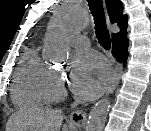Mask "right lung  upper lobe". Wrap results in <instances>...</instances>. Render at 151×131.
I'll return each instance as SVG.
<instances>
[{"instance_id":"1","label":"right lung upper lobe","mask_w":151,"mask_h":131,"mask_svg":"<svg viewBox=\"0 0 151 131\" xmlns=\"http://www.w3.org/2000/svg\"><path fill=\"white\" fill-rule=\"evenodd\" d=\"M108 14L112 23H118L121 32L112 34V42L126 38L127 16L123 15V5L120 0H105Z\"/></svg>"}]
</instances>
